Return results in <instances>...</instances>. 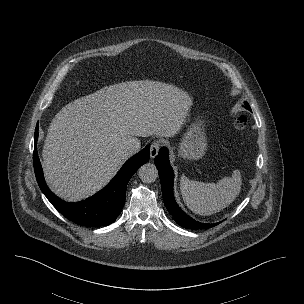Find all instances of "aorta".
I'll use <instances>...</instances> for the list:
<instances>
[{
    "label": "aorta",
    "instance_id": "762f6f07",
    "mask_svg": "<svg viewBox=\"0 0 304 304\" xmlns=\"http://www.w3.org/2000/svg\"><path fill=\"white\" fill-rule=\"evenodd\" d=\"M139 178L144 183L154 182L158 178V170L152 163H146L139 168Z\"/></svg>",
    "mask_w": 304,
    "mask_h": 304
}]
</instances>
